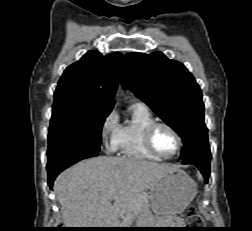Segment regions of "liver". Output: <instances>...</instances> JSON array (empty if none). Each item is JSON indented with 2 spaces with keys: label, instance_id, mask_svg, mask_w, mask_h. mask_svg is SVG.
I'll return each instance as SVG.
<instances>
[{
  "label": "liver",
  "instance_id": "liver-1",
  "mask_svg": "<svg viewBox=\"0 0 252 231\" xmlns=\"http://www.w3.org/2000/svg\"><path fill=\"white\" fill-rule=\"evenodd\" d=\"M175 169L134 157L99 156L62 172L54 191L67 228H116L138 215L137 198ZM111 197H115L114 205Z\"/></svg>",
  "mask_w": 252,
  "mask_h": 231
}]
</instances>
